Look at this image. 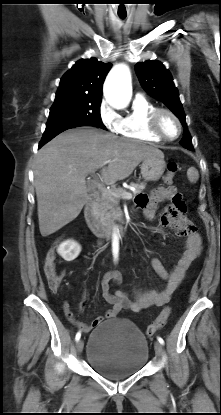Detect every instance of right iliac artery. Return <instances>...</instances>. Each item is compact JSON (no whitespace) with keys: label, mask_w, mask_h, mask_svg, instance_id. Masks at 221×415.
<instances>
[{"label":"right iliac artery","mask_w":221,"mask_h":415,"mask_svg":"<svg viewBox=\"0 0 221 415\" xmlns=\"http://www.w3.org/2000/svg\"><path fill=\"white\" fill-rule=\"evenodd\" d=\"M81 337V332H77L76 336H75V340L78 341Z\"/></svg>","instance_id":"right-iliac-artery-1"}]
</instances>
